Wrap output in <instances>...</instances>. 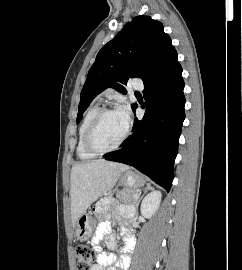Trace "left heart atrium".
Returning a JSON list of instances; mask_svg holds the SVG:
<instances>
[{
  "label": "left heart atrium",
  "instance_id": "39dd6f15",
  "mask_svg": "<svg viewBox=\"0 0 242 270\" xmlns=\"http://www.w3.org/2000/svg\"><path fill=\"white\" fill-rule=\"evenodd\" d=\"M118 112L122 116V118H123L124 122L126 123V125H128L129 122H130V110H129V107L124 105L119 109Z\"/></svg>",
  "mask_w": 242,
  "mask_h": 270
}]
</instances>
